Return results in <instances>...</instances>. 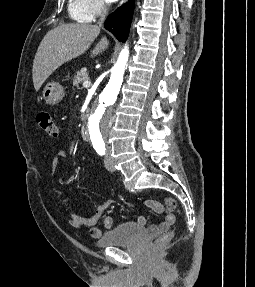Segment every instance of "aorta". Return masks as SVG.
I'll return each instance as SVG.
<instances>
[{
	"mask_svg": "<svg viewBox=\"0 0 255 287\" xmlns=\"http://www.w3.org/2000/svg\"><path fill=\"white\" fill-rule=\"evenodd\" d=\"M129 50L125 45L121 51L117 62L111 69V77L103 92L99 96V101L90 114L87 124L88 138L93 146H103L107 133V117L109 109L115 103L119 94L125 66L128 61Z\"/></svg>",
	"mask_w": 255,
	"mask_h": 287,
	"instance_id": "1",
	"label": "aorta"
}]
</instances>
